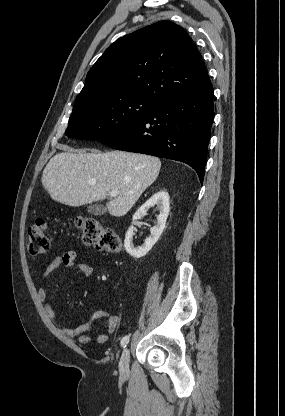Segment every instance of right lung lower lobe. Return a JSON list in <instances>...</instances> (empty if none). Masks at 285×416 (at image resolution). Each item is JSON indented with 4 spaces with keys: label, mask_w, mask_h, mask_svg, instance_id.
Segmentation results:
<instances>
[{
    "label": "right lung lower lobe",
    "mask_w": 285,
    "mask_h": 416,
    "mask_svg": "<svg viewBox=\"0 0 285 416\" xmlns=\"http://www.w3.org/2000/svg\"><path fill=\"white\" fill-rule=\"evenodd\" d=\"M211 82L170 99L123 131L100 140L118 150L187 163L203 182L214 118Z\"/></svg>",
    "instance_id": "right-lung-lower-lobe-1"
}]
</instances>
